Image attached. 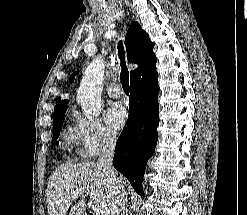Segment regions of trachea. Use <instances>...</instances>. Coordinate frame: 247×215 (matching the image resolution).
<instances>
[{
	"label": "trachea",
	"mask_w": 247,
	"mask_h": 215,
	"mask_svg": "<svg viewBox=\"0 0 247 215\" xmlns=\"http://www.w3.org/2000/svg\"><path fill=\"white\" fill-rule=\"evenodd\" d=\"M118 56L120 59V65H121V73H120V80L121 84L124 90H129V71L126 66L125 62V52H124V47L122 44V41L118 42Z\"/></svg>",
	"instance_id": "3493384b"
}]
</instances>
